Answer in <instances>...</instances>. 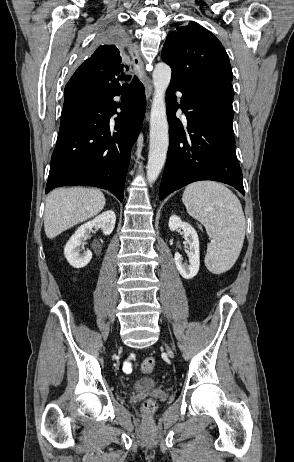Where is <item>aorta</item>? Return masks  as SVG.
Segmentation results:
<instances>
[{"instance_id": "1", "label": "aorta", "mask_w": 294, "mask_h": 462, "mask_svg": "<svg viewBox=\"0 0 294 462\" xmlns=\"http://www.w3.org/2000/svg\"><path fill=\"white\" fill-rule=\"evenodd\" d=\"M171 80V68L158 63L153 71L154 96L150 113V144L147 163V180L150 184L158 178L166 161L169 135L165 93Z\"/></svg>"}]
</instances>
